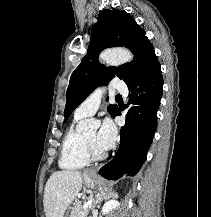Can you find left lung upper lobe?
Masks as SVG:
<instances>
[{"label": "left lung upper lobe", "instance_id": "left-lung-upper-lobe-1", "mask_svg": "<svg viewBox=\"0 0 211 217\" xmlns=\"http://www.w3.org/2000/svg\"><path fill=\"white\" fill-rule=\"evenodd\" d=\"M118 46L130 49L134 54V60L118 67H105L98 62L101 51ZM158 64L154 48L145 31L127 12L103 10L92 28L87 54L70 77L63 123L99 85L107 84L118 76L128 86ZM107 110L114 118L119 108L117 105H109Z\"/></svg>", "mask_w": 211, "mask_h": 217}]
</instances>
